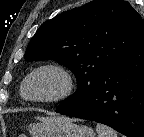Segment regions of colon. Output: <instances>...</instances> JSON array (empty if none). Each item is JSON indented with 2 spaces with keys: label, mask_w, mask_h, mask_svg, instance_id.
<instances>
[{
  "label": "colon",
  "mask_w": 144,
  "mask_h": 137,
  "mask_svg": "<svg viewBox=\"0 0 144 137\" xmlns=\"http://www.w3.org/2000/svg\"><path fill=\"white\" fill-rule=\"evenodd\" d=\"M20 137H25L24 135H20Z\"/></svg>",
  "instance_id": "colon-1"
}]
</instances>
